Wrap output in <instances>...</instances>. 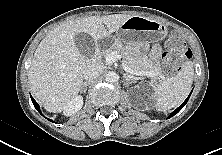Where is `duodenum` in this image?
I'll use <instances>...</instances> for the list:
<instances>
[{"instance_id":"obj_1","label":"duodenum","mask_w":222,"mask_h":155,"mask_svg":"<svg viewBox=\"0 0 222 155\" xmlns=\"http://www.w3.org/2000/svg\"><path fill=\"white\" fill-rule=\"evenodd\" d=\"M100 54H101V45L97 44L95 53H94L93 58H92V61L94 63H97L99 61Z\"/></svg>"}]
</instances>
